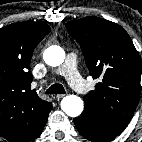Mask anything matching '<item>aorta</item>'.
<instances>
[{
	"label": "aorta",
	"instance_id": "aorta-1",
	"mask_svg": "<svg viewBox=\"0 0 142 142\" xmlns=\"http://www.w3.org/2000/svg\"><path fill=\"white\" fill-rule=\"evenodd\" d=\"M43 58L46 64L56 67L64 62L65 52L60 46L52 45L45 49ZM61 109L68 116L77 117L84 109V102L76 95H68L62 99Z\"/></svg>",
	"mask_w": 142,
	"mask_h": 142
}]
</instances>
